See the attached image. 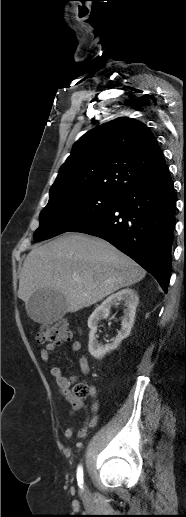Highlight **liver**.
<instances>
[{
    "instance_id": "1",
    "label": "liver",
    "mask_w": 186,
    "mask_h": 517,
    "mask_svg": "<svg viewBox=\"0 0 186 517\" xmlns=\"http://www.w3.org/2000/svg\"><path fill=\"white\" fill-rule=\"evenodd\" d=\"M145 275L140 265L109 242L67 233L29 252L19 274L18 297L26 305L36 291L55 290L65 296L67 312L73 313Z\"/></svg>"
}]
</instances>
